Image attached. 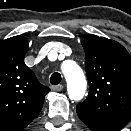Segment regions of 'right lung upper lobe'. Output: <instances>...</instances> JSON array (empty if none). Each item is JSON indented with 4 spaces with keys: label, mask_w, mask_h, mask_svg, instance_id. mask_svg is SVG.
Masks as SVG:
<instances>
[{
    "label": "right lung upper lobe",
    "mask_w": 131,
    "mask_h": 131,
    "mask_svg": "<svg viewBox=\"0 0 131 131\" xmlns=\"http://www.w3.org/2000/svg\"><path fill=\"white\" fill-rule=\"evenodd\" d=\"M22 36L0 40V131H23L38 116L50 89L24 63Z\"/></svg>",
    "instance_id": "1"
}]
</instances>
